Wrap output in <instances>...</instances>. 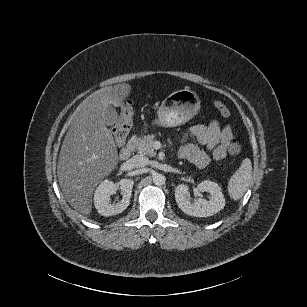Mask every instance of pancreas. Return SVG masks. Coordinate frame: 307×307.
<instances>
[{"label": "pancreas", "mask_w": 307, "mask_h": 307, "mask_svg": "<svg viewBox=\"0 0 307 307\" xmlns=\"http://www.w3.org/2000/svg\"><path fill=\"white\" fill-rule=\"evenodd\" d=\"M155 141V135H147L144 137H139L136 140L135 148L136 150L149 157H154L156 155V151L153 148V144Z\"/></svg>", "instance_id": "cf45deb5"}]
</instances>
